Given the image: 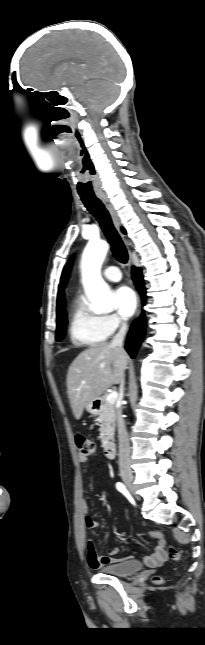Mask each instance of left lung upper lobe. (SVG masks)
Segmentation results:
<instances>
[{
  "mask_svg": "<svg viewBox=\"0 0 205 645\" xmlns=\"http://www.w3.org/2000/svg\"><path fill=\"white\" fill-rule=\"evenodd\" d=\"M69 271H70V264H69V266H68V270H67V275H66V279H65V281H66V280H67V278H68Z\"/></svg>",
  "mask_w": 205,
  "mask_h": 645,
  "instance_id": "left-lung-upper-lobe-1",
  "label": "left lung upper lobe"
}]
</instances>
